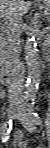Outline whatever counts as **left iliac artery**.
Here are the masks:
<instances>
[{
    "mask_svg": "<svg viewBox=\"0 0 50 148\" xmlns=\"http://www.w3.org/2000/svg\"><path fill=\"white\" fill-rule=\"evenodd\" d=\"M30 114H31L32 121L35 124L40 125L42 123V120H41L40 116L37 113L31 112Z\"/></svg>",
    "mask_w": 50,
    "mask_h": 148,
    "instance_id": "obj_1",
    "label": "left iliac artery"
}]
</instances>
